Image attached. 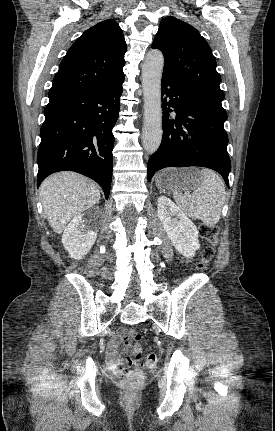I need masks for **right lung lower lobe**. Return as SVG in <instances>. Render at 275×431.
Masks as SVG:
<instances>
[{
    "instance_id": "obj_1",
    "label": "right lung lower lobe",
    "mask_w": 275,
    "mask_h": 431,
    "mask_svg": "<svg viewBox=\"0 0 275 431\" xmlns=\"http://www.w3.org/2000/svg\"><path fill=\"white\" fill-rule=\"evenodd\" d=\"M123 81L105 89L49 100L37 155V186L54 172L70 170L99 183L108 199L112 128L118 119Z\"/></svg>"
}]
</instances>
